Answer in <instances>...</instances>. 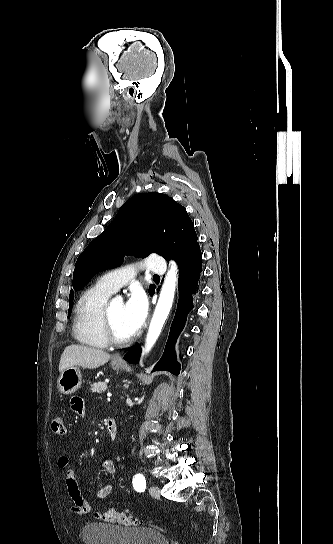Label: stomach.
I'll return each instance as SVG.
<instances>
[{"instance_id": "stomach-1", "label": "stomach", "mask_w": 333, "mask_h": 544, "mask_svg": "<svg viewBox=\"0 0 333 544\" xmlns=\"http://www.w3.org/2000/svg\"><path fill=\"white\" fill-rule=\"evenodd\" d=\"M112 368L119 370L123 368L122 364L112 363ZM58 389L64 394H72L82 384V375L80 368L77 366L69 367L65 369L58 378Z\"/></svg>"}]
</instances>
